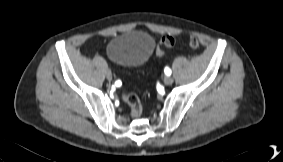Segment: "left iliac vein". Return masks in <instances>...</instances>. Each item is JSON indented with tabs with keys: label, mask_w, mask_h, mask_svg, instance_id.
<instances>
[{
	"label": "left iliac vein",
	"mask_w": 283,
	"mask_h": 162,
	"mask_svg": "<svg viewBox=\"0 0 283 162\" xmlns=\"http://www.w3.org/2000/svg\"><path fill=\"white\" fill-rule=\"evenodd\" d=\"M173 82H174V80H173V78L170 77V76H166V77L164 78V83H165L166 85H171Z\"/></svg>",
	"instance_id": "1"
}]
</instances>
